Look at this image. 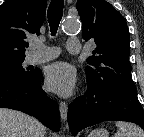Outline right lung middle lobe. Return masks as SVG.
<instances>
[{
    "label": "right lung middle lobe",
    "mask_w": 144,
    "mask_h": 137,
    "mask_svg": "<svg viewBox=\"0 0 144 137\" xmlns=\"http://www.w3.org/2000/svg\"><path fill=\"white\" fill-rule=\"evenodd\" d=\"M23 61L24 60H20L11 65L0 68V83H26L34 79L37 74V70L30 71L29 69H24L21 65Z\"/></svg>",
    "instance_id": "1"
}]
</instances>
